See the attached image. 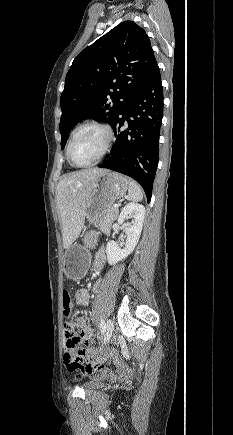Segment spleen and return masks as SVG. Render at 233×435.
<instances>
[{
    "mask_svg": "<svg viewBox=\"0 0 233 435\" xmlns=\"http://www.w3.org/2000/svg\"><path fill=\"white\" fill-rule=\"evenodd\" d=\"M128 198L131 201H141L143 199V192L141 187L133 180L129 181Z\"/></svg>",
    "mask_w": 233,
    "mask_h": 435,
    "instance_id": "obj_1",
    "label": "spleen"
}]
</instances>
